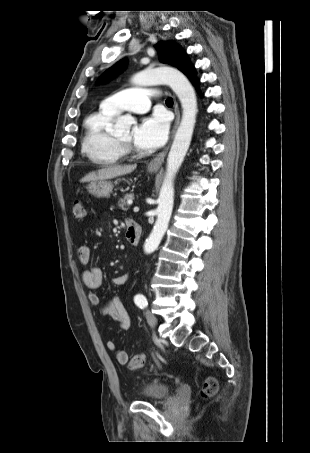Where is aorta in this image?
Returning <instances> with one entry per match:
<instances>
[{
  "label": "aorta",
  "mask_w": 310,
  "mask_h": 453,
  "mask_svg": "<svg viewBox=\"0 0 310 453\" xmlns=\"http://www.w3.org/2000/svg\"><path fill=\"white\" fill-rule=\"evenodd\" d=\"M132 83L139 86H149L165 83L171 87L180 100L183 112L180 125L167 158L166 176L160 189L157 220L153 230L146 240L144 251L154 252L159 246L171 218L174 204V178L189 149L197 115V98L189 80L179 70L172 67L145 69L132 78ZM134 119L131 116L118 117L114 126L116 133L128 132Z\"/></svg>",
  "instance_id": "aorta-1"
}]
</instances>
